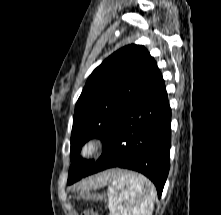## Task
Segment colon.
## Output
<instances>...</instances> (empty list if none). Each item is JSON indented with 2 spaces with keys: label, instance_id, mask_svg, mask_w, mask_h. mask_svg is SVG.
<instances>
[{
  "label": "colon",
  "instance_id": "colon-1",
  "mask_svg": "<svg viewBox=\"0 0 221 215\" xmlns=\"http://www.w3.org/2000/svg\"><path fill=\"white\" fill-rule=\"evenodd\" d=\"M84 215H99V213L95 209H88L84 212Z\"/></svg>",
  "mask_w": 221,
  "mask_h": 215
}]
</instances>
